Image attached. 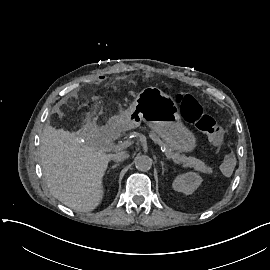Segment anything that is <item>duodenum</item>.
I'll list each match as a JSON object with an SVG mask.
<instances>
[{"label": "duodenum", "instance_id": "410a0bca", "mask_svg": "<svg viewBox=\"0 0 270 270\" xmlns=\"http://www.w3.org/2000/svg\"><path fill=\"white\" fill-rule=\"evenodd\" d=\"M123 127V122L121 120H112L107 124L103 131V142L108 145L114 142Z\"/></svg>", "mask_w": 270, "mask_h": 270}]
</instances>
